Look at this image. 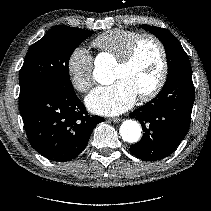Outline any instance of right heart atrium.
<instances>
[{"label":"right heart atrium","instance_id":"obj_1","mask_svg":"<svg viewBox=\"0 0 211 211\" xmlns=\"http://www.w3.org/2000/svg\"><path fill=\"white\" fill-rule=\"evenodd\" d=\"M66 68L73 88L80 93L88 92L95 84L93 57L85 47L71 51Z\"/></svg>","mask_w":211,"mask_h":211}]
</instances>
